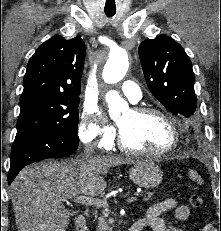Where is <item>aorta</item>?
Listing matches in <instances>:
<instances>
[{"label":"aorta","instance_id":"1","mask_svg":"<svg viewBox=\"0 0 221 231\" xmlns=\"http://www.w3.org/2000/svg\"><path fill=\"white\" fill-rule=\"evenodd\" d=\"M128 66V53L126 50L116 48L111 51L102 73L104 82L108 84H115L121 81L127 73ZM105 98L108 103L110 116H113L122 108H126L128 106L115 90L109 91Z\"/></svg>","mask_w":221,"mask_h":231}]
</instances>
